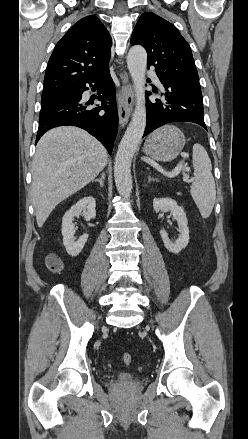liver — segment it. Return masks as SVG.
<instances>
[{
    "instance_id": "obj_1",
    "label": "liver",
    "mask_w": 248,
    "mask_h": 439,
    "mask_svg": "<svg viewBox=\"0 0 248 439\" xmlns=\"http://www.w3.org/2000/svg\"><path fill=\"white\" fill-rule=\"evenodd\" d=\"M107 159L104 146L80 128L64 126L45 133L31 166L30 196L38 227L59 203L93 181Z\"/></svg>"
}]
</instances>
